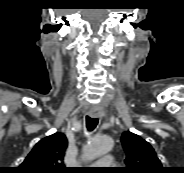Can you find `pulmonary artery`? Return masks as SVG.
<instances>
[{"label": "pulmonary artery", "instance_id": "e3ab8cb5", "mask_svg": "<svg viewBox=\"0 0 184 173\" xmlns=\"http://www.w3.org/2000/svg\"><path fill=\"white\" fill-rule=\"evenodd\" d=\"M114 164L113 158L111 156H104L98 162H96L92 167L96 169V167L109 168Z\"/></svg>", "mask_w": 184, "mask_h": 173}]
</instances>
